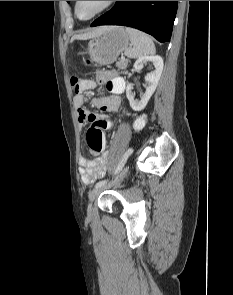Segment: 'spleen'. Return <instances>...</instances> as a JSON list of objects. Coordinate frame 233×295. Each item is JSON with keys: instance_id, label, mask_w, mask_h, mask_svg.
Listing matches in <instances>:
<instances>
[{"instance_id": "1", "label": "spleen", "mask_w": 233, "mask_h": 295, "mask_svg": "<svg viewBox=\"0 0 233 295\" xmlns=\"http://www.w3.org/2000/svg\"><path fill=\"white\" fill-rule=\"evenodd\" d=\"M125 31L130 37L132 47L125 50V55L129 58H138L147 54L155 53V45L146 33L126 27Z\"/></svg>"}]
</instances>
